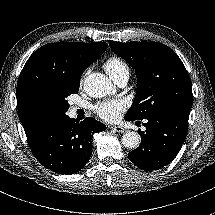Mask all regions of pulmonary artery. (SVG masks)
<instances>
[{"label": "pulmonary artery", "instance_id": "obj_1", "mask_svg": "<svg viewBox=\"0 0 215 215\" xmlns=\"http://www.w3.org/2000/svg\"><path fill=\"white\" fill-rule=\"evenodd\" d=\"M128 77H129V74L128 73H124L122 74L117 80V84H119L120 86H123L127 83L128 81Z\"/></svg>", "mask_w": 215, "mask_h": 215}]
</instances>
